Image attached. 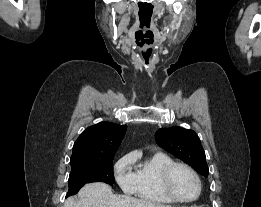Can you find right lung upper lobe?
Segmentation results:
<instances>
[{
  "label": "right lung upper lobe",
  "instance_id": "cb5924a9",
  "mask_svg": "<svg viewBox=\"0 0 261 207\" xmlns=\"http://www.w3.org/2000/svg\"><path fill=\"white\" fill-rule=\"evenodd\" d=\"M126 129V125L111 122H100L88 127L74 143L70 163L107 160L114 157Z\"/></svg>",
  "mask_w": 261,
  "mask_h": 207
}]
</instances>
